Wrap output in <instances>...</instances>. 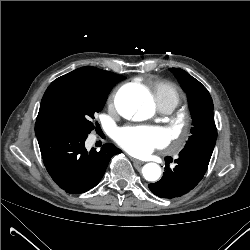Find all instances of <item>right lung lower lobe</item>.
<instances>
[{
    "label": "right lung lower lobe",
    "instance_id": "right-lung-lower-lobe-1",
    "mask_svg": "<svg viewBox=\"0 0 250 250\" xmlns=\"http://www.w3.org/2000/svg\"><path fill=\"white\" fill-rule=\"evenodd\" d=\"M88 134L46 132L37 136L45 167L62 189L70 194L84 193L103 177L110 159L121 151L108 143L97 152L86 150Z\"/></svg>",
    "mask_w": 250,
    "mask_h": 250
}]
</instances>
